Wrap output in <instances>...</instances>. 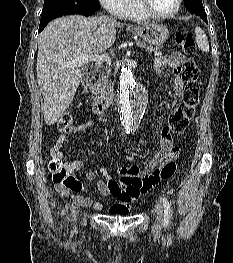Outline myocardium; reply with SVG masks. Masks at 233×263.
Returning a JSON list of instances; mask_svg holds the SVG:
<instances>
[{
  "mask_svg": "<svg viewBox=\"0 0 233 263\" xmlns=\"http://www.w3.org/2000/svg\"><path fill=\"white\" fill-rule=\"evenodd\" d=\"M137 3L139 5V7L149 16L152 18H157V19H167V18H171L173 16H175L182 5V0H177L176 3V7L173 11L169 12V13H158L155 10L152 9V7L149 4L148 0H137Z\"/></svg>",
  "mask_w": 233,
  "mask_h": 263,
  "instance_id": "obj_1",
  "label": "myocardium"
}]
</instances>
